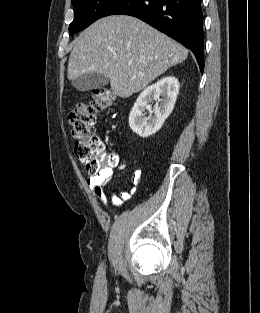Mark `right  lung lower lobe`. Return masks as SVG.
Here are the masks:
<instances>
[{"mask_svg":"<svg viewBox=\"0 0 260 313\" xmlns=\"http://www.w3.org/2000/svg\"><path fill=\"white\" fill-rule=\"evenodd\" d=\"M124 14L137 17L167 34L195 55L204 69V31L201 0H119L105 16Z\"/></svg>","mask_w":260,"mask_h":313,"instance_id":"right-lung-lower-lobe-1","label":"right lung lower lobe"}]
</instances>
